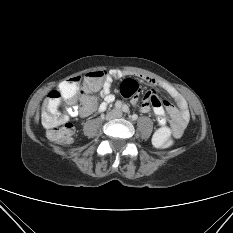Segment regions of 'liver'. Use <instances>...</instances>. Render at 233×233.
<instances>
[{
    "instance_id": "liver-1",
    "label": "liver",
    "mask_w": 233,
    "mask_h": 233,
    "mask_svg": "<svg viewBox=\"0 0 233 233\" xmlns=\"http://www.w3.org/2000/svg\"><path fill=\"white\" fill-rule=\"evenodd\" d=\"M45 107H46V101H44V103H43L42 111H44V110H45Z\"/></svg>"
}]
</instances>
